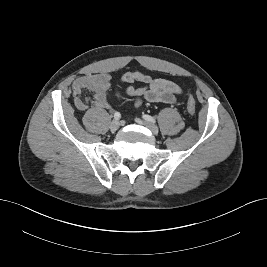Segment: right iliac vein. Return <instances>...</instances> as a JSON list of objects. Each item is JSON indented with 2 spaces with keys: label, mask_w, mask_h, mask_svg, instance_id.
Returning a JSON list of instances; mask_svg holds the SVG:
<instances>
[{
  "label": "right iliac vein",
  "mask_w": 267,
  "mask_h": 267,
  "mask_svg": "<svg viewBox=\"0 0 267 267\" xmlns=\"http://www.w3.org/2000/svg\"><path fill=\"white\" fill-rule=\"evenodd\" d=\"M120 127V123L118 120H113L111 123H110V130L112 132H115L119 129Z\"/></svg>",
  "instance_id": "right-iliac-vein-1"
}]
</instances>
